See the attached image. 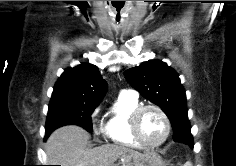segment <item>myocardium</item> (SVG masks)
I'll return each mask as SVG.
<instances>
[{"instance_id": "myocardium-1", "label": "myocardium", "mask_w": 236, "mask_h": 166, "mask_svg": "<svg viewBox=\"0 0 236 166\" xmlns=\"http://www.w3.org/2000/svg\"><path fill=\"white\" fill-rule=\"evenodd\" d=\"M149 109L157 111L160 116L163 118L165 123V133L163 138L157 143H147L141 136L140 133V119L143 113ZM130 130L133 138L144 148L147 149H154L161 145H163L167 139L169 138L171 132V123L169 117L165 113V111L156 104H147L139 106L134 112L131 114L130 117Z\"/></svg>"}]
</instances>
